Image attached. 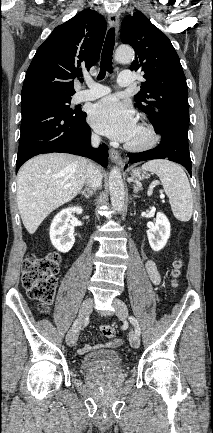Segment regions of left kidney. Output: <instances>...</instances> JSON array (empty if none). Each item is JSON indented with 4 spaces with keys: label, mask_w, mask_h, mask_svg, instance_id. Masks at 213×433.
I'll return each mask as SVG.
<instances>
[{
    "label": "left kidney",
    "mask_w": 213,
    "mask_h": 433,
    "mask_svg": "<svg viewBox=\"0 0 213 433\" xmlns=\"http://www.w3.org/2000/svg\"><path fill=\"white\" fill-rule=\"evenodd\" d=\"M170 222L161 212L156 215L155 225L147 231L148 241L153 251H160L165 247L170 237Z\"/></svg>",
    "instance_id": "1"
}]
</instances>
